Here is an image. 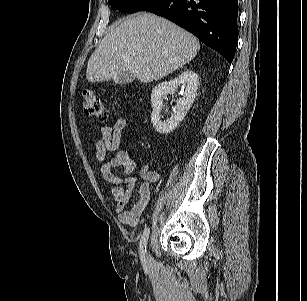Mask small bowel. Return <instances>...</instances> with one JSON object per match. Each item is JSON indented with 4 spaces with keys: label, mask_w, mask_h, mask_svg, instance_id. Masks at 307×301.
I'll return each instance as SVG.
<instances>
[{
    "label": "small bowel",
    "mask_w": 307,
    "mask_h": 301,
    "mask_svg": "<svg viewBox=\"0 0 307 301\" xmlns=\"http://www.w3.org/2000/svg\"><path fill=\"white\" fill-rule=\"evenodd\" d=\"M128 128L126 118H118L113 125H105L100 130V138L93 143L96 159L103 178L112 184L111 193L116 202L118 219L122 224L135 226L144 212L151 194V184L158 175L143 164L139 170L142 182L138 186L139 198L130 210H124L133 197L137 187V178L131 174L137 168V162L129 151L119 150L123 132ZM107 153L111 157L104 161ZM121 169L124 176L117 175L114 170Z\"/></svg>",
    "instance_id": "small-bowel-1"
}]
</instances>
